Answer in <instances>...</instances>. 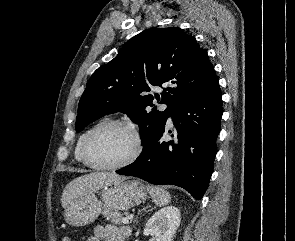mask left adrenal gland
Returning <instances> with one entry per match:
<instances>
[{
    "mask_svg": "<svg viewBox=\"0 0 295 241\" xmlns=\"http://www.w3.org/2000/svg\"><path fill=\"white\" fill-rule=\"evenodd\" d=\"M149 207H150V206H146V207H144L142 210L139 211V213H140L141 211H143V210H146V209L149 208ZM139 213H138V214H139ZM136 219H137V217L135 218L134 221H136Z\"/></svg>",
    "mask_w": 295,
    "mask_h": 241,
    "instance_id": "left-adrenal-gland-1",
    "label": "left adrenal gland"
}]
</instances>
